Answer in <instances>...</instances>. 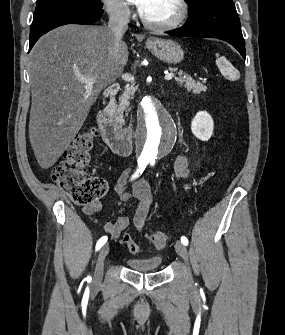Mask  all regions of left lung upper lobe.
Wrapping results in <instances>:
<instances>
[{"label":"left lung upper lobe","mask_w":285,"mask_h":335,"mask_svg":"<svg viewBox=\"0 0 285 335\" xmlns=\"http://www.w3.org/2000/svg\"><path fill=\"white\" fill-rule=\"evenodd\" d=\"M189 5V13L195 12L202 5L208 2L216 1V2H233V0H185Z\"/></svg>","instance_id":"1"}]
</instances>
